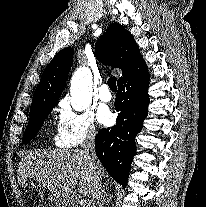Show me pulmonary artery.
<instances>
[{"label": "pulmonary artery", "instance_id": "e3ab8cb5", "mask_svg": "<svg viewBox=\"0 0 206 207\" xmlns=\"http://www.w3.org/2000/svg\"><path fill=\"white\" fill-rule=\"evenodd\" d=\"M98 98L103 102H109L112 99V93L107 84L101 85L98 91Z\"/></svg>", "mask_w": 206, "mask_h": 207}]
</instances>
